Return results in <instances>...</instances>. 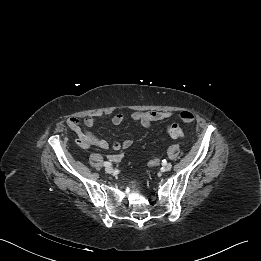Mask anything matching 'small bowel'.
I'll return each mask as SVG.
<instances>
[{
    "instance_id": "c3829d8e",
    "label": "small bowel",
    "mask_w": 261,
    "mask_h": 261,
    "mask_svg": "<svg viewBox=\"0 0 261 261\" xmlns=\"http://www.w3.org/2000/svg\"><path fill=\"white\" fill-rule=\"evenodd\" d=\"M173 113L171 111H134L131 114V119L137 123H140L142 126L149 128L153 122L162 121L168 118H171ZM180 119L183 123L189 124L194 121V114L190 111H182L180 113ZM103 116H87L83 120V124L85 127L93 126L99 118ZM125 120V117L122 113H116L111 117V122L119 126ZM67 124L71 130H73L77 134V142L82 147H97L101 149H107L109 144L106 140L99 138L94 135L90 131H88L85 127H83L80 121L77 118H70L67 121ZM132 145L131 139H126L123 142H114L112 144V148L115 151H119L121 149L129 148ZM122 158L120 154L113 155L111 157L114 161H119Z\"/></svg>"
}]
</instances>
